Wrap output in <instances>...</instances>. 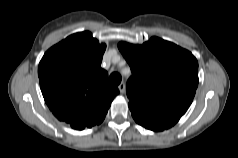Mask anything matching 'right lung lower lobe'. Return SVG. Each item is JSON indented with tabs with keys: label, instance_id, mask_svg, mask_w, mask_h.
<instances>
[{
	"label": "right lung lower lobe",
	"instance_id": "98d812e1",
	"mask_svg": "<svg viewBox=\"0 0 238 158\" xmlns=\"http://www.w3.org/2000/svg\"><path fill=\"white\" fill-rule=\"evenodd\" d=\"M105 117H101L99 119H90L86 122H78V123H74V124H70V126L74 129H78V130H82L86 127L91 128L92 126L96 125V124H100Z\"/></svg>",
	"mask_w": 238,
	"mask_h": 158
}]
</instances>
